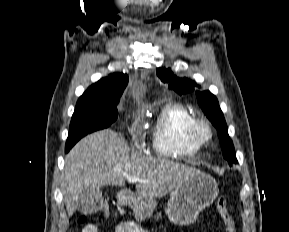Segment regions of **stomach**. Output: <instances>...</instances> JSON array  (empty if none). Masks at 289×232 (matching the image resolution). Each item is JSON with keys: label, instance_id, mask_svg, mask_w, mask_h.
<instances>
[{"label": "stomach", "instance_id": "stomach-1", "mask_svg": "<svg viewBox=\"0 0 289 232\" xmlns=\"http://www.w3.org/2000/svg\"><path fill=\"white\" fill-rule=\"evenodd\" d=\"M218 191V185L210 175L194 169L188 179L172 192L167 203L166 215L176 225H189L204 208L213 203ZM117 199L120 204L130 206L138 220L150 218L156 207L154 198L130 191H121Z\"/></svg>", "mask_w": 289, "mask_h": 232}]
</instances>
